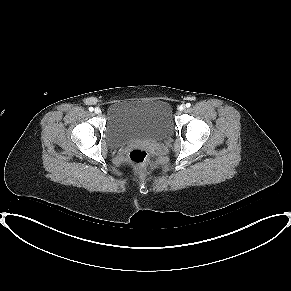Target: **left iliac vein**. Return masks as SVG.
<instances>
[{"label": "left iliac vein", "instance_id": "4c4485c4", "mask_svg": "<svg viewBox=\"0 0 291 291\" xmlns=\"http://www.w3.org/2000/svg\"><path fill=\"white\" fill-rule=\"evenodd\" d=\"M184 109H185V105H180L178 108L179 111H183Z\"/></svg>", "mask_w": 291, "mask_h": 291}]
</instances>
